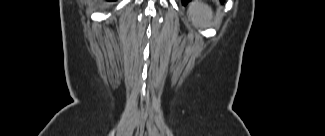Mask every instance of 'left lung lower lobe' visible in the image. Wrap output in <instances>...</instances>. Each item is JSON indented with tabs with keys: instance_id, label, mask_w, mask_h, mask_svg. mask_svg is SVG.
Segmentation results:
<instances>
[{
	"instance_id": "left-lung-lower-lobe-1",
	"label": "left lung lower lobe",
	"mask_w": 325,
	"mask_h": 136,
	"mask_svg": "<svg viewBox=\"0 0 325 136\" xmlns=\"http://www.w3.org/2000/svg\"><path fill=\"white\" fill-rule=\"evenodd\" d=\"M190 1H192V0H182V4L183 5H186L188 2H190ZM221 2H223L224 0H220Z\"/></svg>"
}]
</instances>
